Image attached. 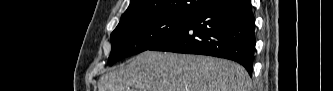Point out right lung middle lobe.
I'll use <instances>...</instances> for the list:
<instances>
[{
  "instance_id": "1",
  "label": "right lung middle lobe",
  "mask_w": 333,
  "mask_h": 91,
  "mask_svg": "<svg viewBox=\"0 0 333 91\" xmlns=\"http://www.w3.org/2000/svg\"><path fill=\"white\" fill-rule=\"evenodd\" d=\"M213 2L214 0H204L200 3V7L206 8ZM194 16L159 14L118 24L110 36L112 50L108 59L109 65L125 57L150 50L185 26Z\"/></svg>"
}]
</instances>
